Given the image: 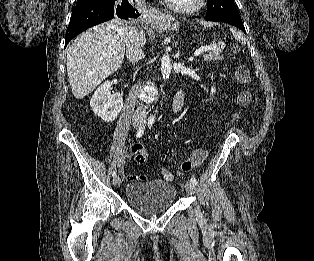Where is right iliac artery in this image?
I'll return each instance as SVG.
<instances>
[{"label":"right iliac artery","instance_id":"1","mask_svg":"<svg viewBox=\"0 0 314 261\" xmlns=\"http://www.w3.org/2000/svg\"><path fill=\"white\" fill-rule=\"evenodd\" d=\"M143 133H144V128H140L138 131H137V133H136V136L139 138V137H141L142 135H143ZM116 172L114 171V172H112V176L113 177H116Z\"/></svg>","mask_w":314,"mask_h":261}]
</instances>
